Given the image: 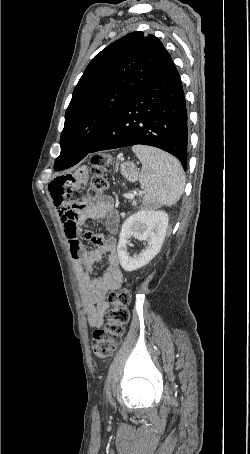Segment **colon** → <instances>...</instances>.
I'll return each instance as SVG.
<instances>
[{"label": "colon", "instance_id": "1", "mask_svg": "<svg viewBox=\"0 0 250 454\" xmlns=\"http://www.w3.org/2000/svg\"><path fill=\"white\" fill-rule=\"evenodd\" d=\"M91 162L94 174L90 180L88 195L95 199L101 197L108 188L104 173L111 167V157L105 153H98L92 157ZM108 301L111 309L107 314V322L93 332L92 350L99 360L108 359L122 340L125 325L129 320L130 291L128 285L111 291L108 294Z\"/></svg>", "mask_w": 250, "mask_h": 454}]
</instances>
